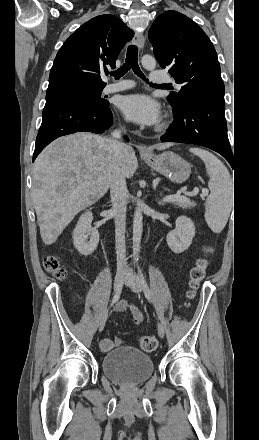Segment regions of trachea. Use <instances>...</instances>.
<instances>
[{"label": "trachea", "mask_w": 259, "mask_h": 440, "mask_svg": "<svg viewBox=\"0 0 259 440\" xmlns=\"http://www.w3.org/2000/svg\"><path fill=\"white\" fill-rule=\"evenodd\" d=\"M137 58H138V47L135 45L128 46L125 63L118 70L114 72H110V75L114 76L115 79H119L122 76H124V74H126L130 69H132L133 72L138 77L142 78L143 80H146L144 74L139 68ZM146 81L148 82V80ZM163 86H169V85L163 84Z\"/></svg>", "instance_id": "3493384b"}]
</instances>
